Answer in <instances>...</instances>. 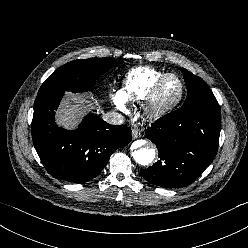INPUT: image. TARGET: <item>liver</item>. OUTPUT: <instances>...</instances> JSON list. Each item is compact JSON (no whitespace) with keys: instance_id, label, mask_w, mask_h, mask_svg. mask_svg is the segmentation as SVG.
I'll return each instance as SVG.
<instances>
[{"instance_id":"6515ba94","label":"liver","mask_w":248,"mask_h":248,"mask_svg":"<svg viewBox=\"0 0 248 248\" xmlns=\"http://www.w3.org/2000/svg\"><path fill=\"white\" fill-rule=\"evenodd\" d=\"M85 102V96L67 93V97L62 101L61 107L56 114L57 123L66 129H74L83 115Z\"/></svg>"}]
</instances>
